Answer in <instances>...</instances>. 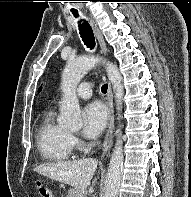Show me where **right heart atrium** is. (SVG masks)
Wrapping results in <instances>:
<instances>
[{
  "label": "right heart atrium",
  "instance_id": "1",
  "mask_svg": "<svg viewBox=\"0 0 191 197\" xmlns=\"http://www.w3.org/2000/svg\"><path fill=\"white\" fill-rule=\"evenodd\" d=\"M69 140H70L72 147L81 148L83 145L82 142L79 140V138L76 137L74 134L69 135Z\"/></svg>",
  "mask_w": 191,
  "mask_h": 197
}]
</instances>
